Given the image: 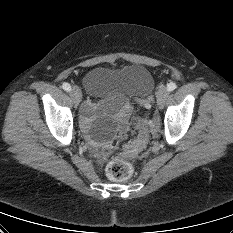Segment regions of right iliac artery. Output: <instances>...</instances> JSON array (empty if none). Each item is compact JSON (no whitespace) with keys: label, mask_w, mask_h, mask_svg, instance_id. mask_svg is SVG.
<instances>
[{"label":"right iliac artery","mask_w":233,"mask_h":233,"mask_svg":"<svg viewBox=\"0 0 233 233\" xmlns=\"http://www.w3.org/2000/svg\"><path fill=\"white\" fill-rule=\"evenodd\" d=\"M62 88H63L65 91H67V92L71 90L70 84H68V83H66V82H64V83L62 84Z\"/></svg>","instance_id":"82829eb1"}]
</instances>
